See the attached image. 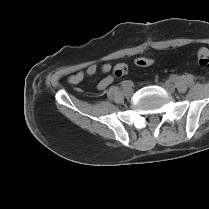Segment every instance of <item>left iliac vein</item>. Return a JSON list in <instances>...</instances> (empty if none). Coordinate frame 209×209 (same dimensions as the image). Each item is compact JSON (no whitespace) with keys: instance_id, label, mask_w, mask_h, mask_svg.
<instances>
[{"instance_id":"4c4485c4","label":"left iliac vein","mask_w":209,"mask_h":209,"mask_svg":"<svg viewBox=\"0 0 209 209\" xmlns=\"http://www.w3.org/2000/svg\"><path fill=\"white\" fill-rule=\"evenodd\" d=\"M163 87L170 92H173L175 90V86L170 82H166L165 84H163Z\"/></svg>"}]
</instances>
